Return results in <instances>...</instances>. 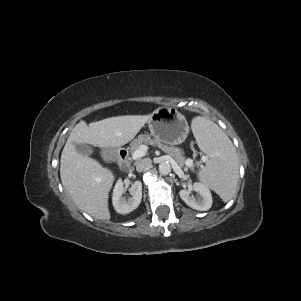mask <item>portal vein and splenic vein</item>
Returning <instances> with one entry per match:
<instances>
[{
  "instance_id": "obj_1",
  "label": "portal vein and splenic vein",
  "mask_w": 301,
  "mask_h": 301,
  "mask_svg": "<svg viewBox=\"0 0 301 301\" xmlns=\"http://www.w3.org/2000/svg\"><path fill=\"white\" fill-rule=\"evenodd\" d=\"M147 152V146L146 145H141L133 154H132V159L133 160H137L142 158L143 156L146 155ZM207 160L206 156L202 157V161L205 162ZM186 165L187 166H192L193 165V161L191 159H188L186 161Z\"/></svg>"
}]
</instances>
